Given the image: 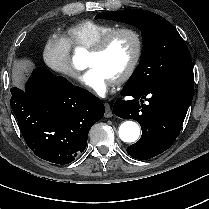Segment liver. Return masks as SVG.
Returning a JSON list of instances; mask_svg holds the SVG:
<instances>
[{
  "instance_id": "1",
  "label": "liver",
  "mask_w": 209,
  "mask_h": 209,
  "mask_svg": "<svg viewBox=\"0 0 209 209\" xmlns=\"http://www.w3.org/2000/svg\"><path fill=\"white\" fill-rule=\"evenodd\" d=\"M33 67V63L28 59H21L14 62L12 70V81L17 87H22L26 74Z\"/></svg>"
}]
</instances>
